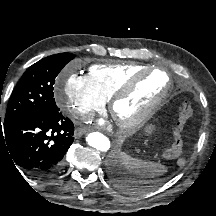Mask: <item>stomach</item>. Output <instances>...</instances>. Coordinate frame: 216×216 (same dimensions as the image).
<instances>
[{
  "label": "stomach",
  "mask_w": 216,
  "mask_h": 216,
  "mask_svg": "<svg viewBox=\"0 0 216 216\" xmlns=\"http://www.w3.org/2000/svg\"><path fill=\"white\" fill-rule=\"evenodd\" d=\"M153 130V127L152 126H148L147 127V132H151Z\"/></svg>",
  "instance_id": "obj_1"
}]
</instances>
